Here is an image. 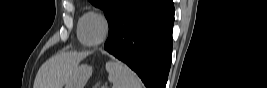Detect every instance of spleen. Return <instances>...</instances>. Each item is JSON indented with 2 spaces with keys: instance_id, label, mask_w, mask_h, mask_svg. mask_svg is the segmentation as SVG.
Listing matches in <instances>:
<instances>
[{
  "instance_id": "1",
  "label": "spleen",
  "mask_w": 267,
  "mask_h": 88,
  "mask_svg": "<svg viewBox=\"0 0 267 88\" xmlns=\"http://www.w3.org/2000/svg\"><path fill=\"white\" fill-rule=\"evenodd\" d=\"M106 70L109 81L113 88H142L143 84L139 77L127 65L120 61H108Z\"/></svg>"
}]
</instances>
